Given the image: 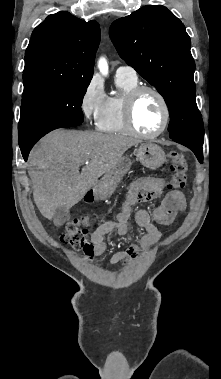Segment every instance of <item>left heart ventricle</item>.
I'll use <instances>...</instances> for the list:
<instances>
[{
  "label": "left heart ventricle",
  "mask_w": 221,
  "mask_h": 379,
  "mask_svg": "<svg viewBox=\"0 0 221 379\" xmlns=\"http://www.w3.org/2000/svg\"><path fill=\"white\" fill-rule=\"evenodd\" d=\"M162 108L157 97L150 93H143L134 107V122L139 131L153 133L162 123Z\"/></svg>",
  "instance_id": "b2bd125f"
}]
</instances>
